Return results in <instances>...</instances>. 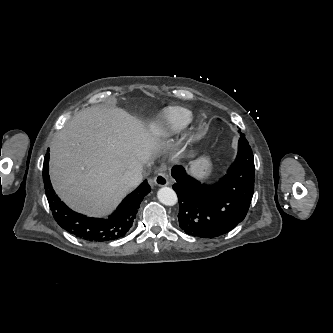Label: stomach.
I'll use <instances>...</instances> for the list:
<instances>
[{
  "label": "stomach",
  "mask_w": 333,
  "mask_h": 333,
  "mask_svg": "<svg viewBox=\"0 0 333 333\" xmlns=\"http://www.w3.org/2000/svg\"><path fill=\"white\" fill-rule=\"evenodd\" d=\"M211 172V163L207 157H200L199 159L191 162L190 173L199 178L204 179L209 176Z\"/></svg>",
  "instance_id": "stomach-1"
}]
</instances>
